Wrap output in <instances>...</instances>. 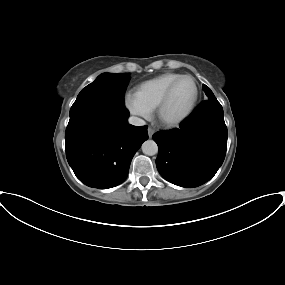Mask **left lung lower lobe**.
I'll return each mask as SVG.
<instances>
[{
	"mask_svg": "<svg viewBox=\"0 0 285 285\" xmlns=\"http://www.w3.org/2000/svg\"><path fill=\"white\" fill-rule=\"evenodd\" d=\"M223 108L216 98L202 102L180 128L153 135L159 148L156 166L169 182L186 188L210 180L227 149Z\"/></svg>",
	"mask_w": 285,
	"mask_h": 285,
	"instance_id": "0a47b994",
	"label": "left lung lower lobe"
}]
</instances>
